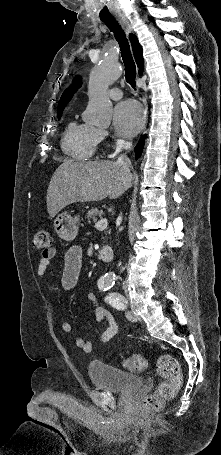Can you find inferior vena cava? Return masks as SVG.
<instances>
[{
    "mask_svg": "<svg viewBox=\"0 0 221 455\" xmlns=\"http://www.w3.org/2000/svg\"><path fill=\"white\" fill-rule=\"evenodd\" d=\"M118 165H120L122 168H124L125 170H127L128 172H130V167H131V161L130 159L127 157L126 154H122L118 157V160L116 162Z\"/></svg>",
    "mask_w": 221,
    "mask_h": 455,
    "instance_id": "1",
    "label": "inferior vena cava"
}]
</instances>
